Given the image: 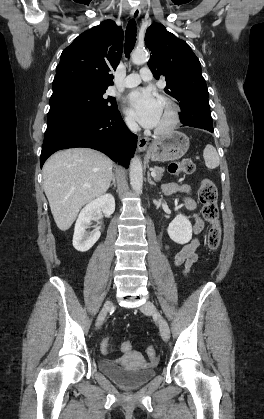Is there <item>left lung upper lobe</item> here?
Segmentation results:
<instances>
[{
    "label": "left lung upper lobe",
    "instance_id": "obj_1",
    "mask_svg": "<svg viewBox=\"0 0 264 419\" xmlns=\"http://www.w3.org/2000/svg\"><path fill=\"white\" fill-rule=\"evenodd\" d=\"M145 44L151 51L149 68L156 79L165 77L164 90L179 102L181 109L208 100L201 64L185 41L154 23L146 31Z\"/></svg>",
    "mask_w": 264,
    "mask_h": 419
}]
</instances>
